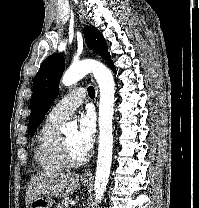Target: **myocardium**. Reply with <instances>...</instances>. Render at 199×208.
Masks as SVG:
<instances>
[{"mask_svg": "<svg viewBox=\"0 0 199 208\" xmlns=\"http://www.w3.org/2000/svg\"><path fill=\"white\" fill-rule=\"evenodd\" d=\"M61 151H62L63 160L67 165V167H78L85 164L88 160L87 154L82 158L79 159L75 158L70 150V147L65 137H62Z\"/></svg>", "mask_w": 199, "mask_h": 208, "instance_id": "myocardium-1", "label": "myocardium"}]
</instances>
